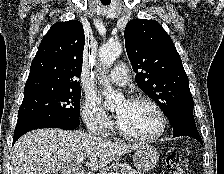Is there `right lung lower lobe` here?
Wrapping results in <instances>:
<instances>
[{
	"label": "right lung lower lobe",
	"mask_w": 224,
	"mask_h": 174,
	"mask_svg": "<svg viewBox=\"0 0 224 174\" xmlns=\"http://www.w3.org/2000/svg\"><path fill=\"white\" fill-rule=\"evenodd\" d=\"M80 124L79 120L57 122V121H45L35 118H24L17 121V125L14 132L13 144L18 140L20 136L34 129L38 128H61L65 130L76 129Z\"/></svg>",
	"instance_id": "obj_1"
}]
</instances>
